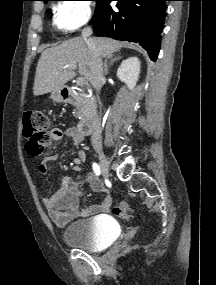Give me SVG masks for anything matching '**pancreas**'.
Masks as SVG:
<instances>
[{
	"instance_id": "1",
	"label": "pancreas",
	"mask_w": 216,
	"mask_h": 285,
	"mask_svg": "<svg viewBox=\"0 0 216 285\" xmlns=\"http://www.w3.org/2000/svg\"><path fill=\"white\" fill-rule=\"evenodd\" d=\"M89 111V100L86 98H79L76 101L75 115L83 117Z\"/></svg>"
}]
</instances>
